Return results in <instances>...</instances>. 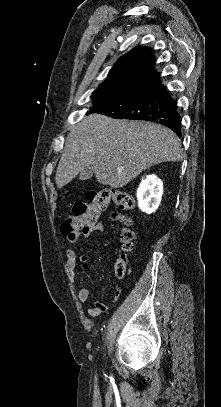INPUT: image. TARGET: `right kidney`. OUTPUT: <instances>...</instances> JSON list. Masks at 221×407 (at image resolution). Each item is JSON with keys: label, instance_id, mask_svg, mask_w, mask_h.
<instances>
[{"label": "right kidney", "instance_id": "1", "mask_svg": "<svg viewBox=\"0 0 221 407\" xmlns=\"http://www.w3.org/2000/svg\"><path fill=\"white\" fill-rule=\"evenodd\" d=\"M139 209L147 214L154 213L161 202L163 182L156 175H147L137 189Z\"/></svg>", "mask_w": 221, "mask_h": 407}]
</instances>
